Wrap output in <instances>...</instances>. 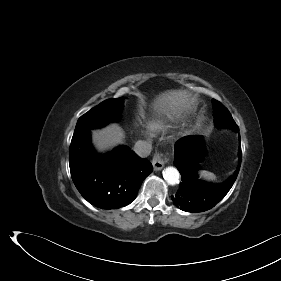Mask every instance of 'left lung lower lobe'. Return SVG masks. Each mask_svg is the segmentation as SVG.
Segmentation results:
<instances>
[{"instance_id":"left-lung-lower-lobe-1","label":"left lung lower lobe","mask_w":281,"mask_h":281,"mask_svg":"<svg viewBox=\"0 0 281 281\" xmlns=\"http://www.w3.org/2000/svg\"><path fill=\"white\" fill-rule=\"evenodd\" d=\"M203 155L204 143L199 135L184 137L175 144L174 164L181 174L182 182L176 195L171 198L177 207L186 212H203L214 207L231 189L239 172L240 164L237 171L221 184L201 181L196 170ZM239 159H242L241 146Z\"/></svg>"}]
</instances>
